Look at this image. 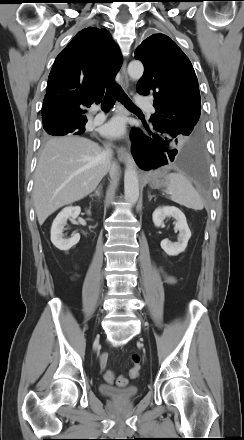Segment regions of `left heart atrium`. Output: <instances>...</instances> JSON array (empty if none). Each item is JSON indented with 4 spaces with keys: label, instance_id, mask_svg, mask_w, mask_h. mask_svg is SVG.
Returning <instances> with one entry per match:
<instances>
[{
    "label": "left heart atrium",
    "instance_id": "obj_1",
    "mask_svg": "<svg viewBox=\"0 0 244 440\" xmlns=\"http://www.w3.org/2000/svg\"><path fill=\"white\" fill-rule=\"evenodd\" d=\"M102 135L110 139H117L125 133V120L117 116L105 123L100 129Z\"/></svg>",
    "mask_w": 244,
    "mask_h": 440
}]
</instances>
